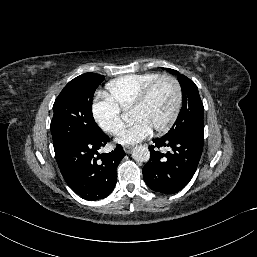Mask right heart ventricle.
Returning <instances> with one entry per match:
<instances>
[{"label":"right heart ventricle","instance_id":"e07e8e85","mask_svg":"<svg viewBox=\"0 0 257 257\" xmlns=\"http://www.w3.org/2000/svg\"><path fill=\"white\" fill-rule=\"evenodd\" d=\"M159 76L157 73H142L118 77L107 83L106 97L120 110L127 111L142 90Z\"/></svg>","mask_w":257,"mask_h":257}]
</instances>
